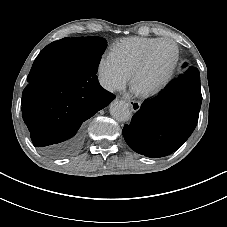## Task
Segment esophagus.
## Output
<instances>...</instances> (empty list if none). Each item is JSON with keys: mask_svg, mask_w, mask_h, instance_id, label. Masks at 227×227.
Wrapping results in <instances>:
<instances>
[{"mask_svg": "<svg viewBox=\"0 0 227 227\" xmlns=\"http://www.w3.org/2000/svg\"><path fill=\"white\" fill-rule=\"evenodd\" d=\"M129 106L131 107L133 112H137L140 109V102L136 100H127Z\"/></svg>", "mask_w": 227, "mask_h": 227, "instance_id": "34e87169", "label": "esophagus"}]
</instances>
